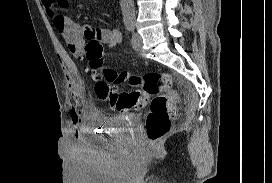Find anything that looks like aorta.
Instances as JSON below:
<instances>
[{
    "instance_id": "1",
    "label": "aorta",
    "mask_w": 272,
    "mask_h": 183,
    "mask_svg": "<svg viewBox=\"0 0 272 183\" xmlns=\"http://www.w3.org/2000/svg\"><path fill=\"white\" fill-rule=\"evenodd\" d=\"M123 21L127 24L135 23V8L133 0H120Z\"/></svg>"
}]
</instances>
